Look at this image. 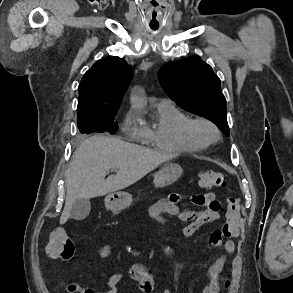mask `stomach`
I'll return each mask as SVG.
<instances>
[{
	"mask_svg": "<svg viewBox=\"0 0 293 293\" xmlns=\"http://www.w3.org/2000/svg\"><path fill=\"white\" fill-rule=\"evenodd\" d=\"M182 168L179 164L167 163L154 176V185L157 188H163L173 184L182 174ZM132 195L128 192H113L105 199V205L112 211H120L132 203Z\"/></svg>",
	"mask_w": 293,
	"mask_h": 293,
	"instance_id": "stomach-1",
	"label": "stomach"
}]
</instances>
